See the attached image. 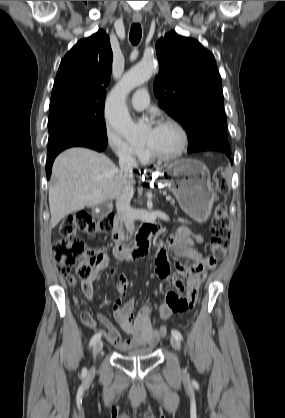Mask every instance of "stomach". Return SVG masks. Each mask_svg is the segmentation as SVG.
Instances as JSON below:
<instances>
[{
	"mask_svg": "<svg viewBox=\"0 0 285 418\" xmlns=\"http://www.w3.org/2000/svg\"><path fill=\"white\" fill-rule=\"evenodd\" d=\"M157 180L174 194L187 215L198 222L207 220L215 196L210 172L203 162L191 158L177 160L160 171Z\"/></svg>",
	"mask_w": 285,
	"mask_h": 418,
	"instance_id": "0dacf381",
	"label": "stomach"
}]
</instances>
